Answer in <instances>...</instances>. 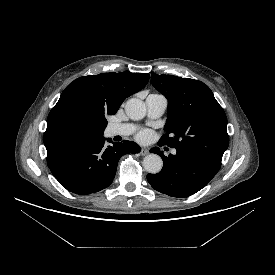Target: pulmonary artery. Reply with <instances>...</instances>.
Segmentation results:
<instances>
[{
	"label": "pulmonary artery",
	"mask_w": 275,
	"mask_h": 275,
	"mask_svg": "<svg viewBox=\"0 0 275 275\" xmlns=\"http://www.w3.org/2000/svg\"><path fill=\"white\" fill-rule=\"evenodd\" d=\"M147 114L151 119L159 118L163 115L167 108V99L160 94H150L146 98ZM135 130L133 124H114L107 128V135L113 136H128ZM172 154H176V149L172 150Z\"/></svg>",
	"instance_id": "pulmonary-artery-1"
}]
</instances>
